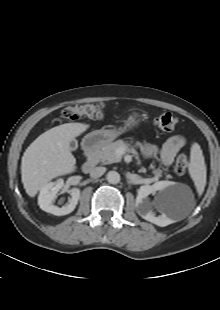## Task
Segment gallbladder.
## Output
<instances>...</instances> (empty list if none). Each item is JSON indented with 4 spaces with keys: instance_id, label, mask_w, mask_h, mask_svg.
Returning <instances> with one entry per match:
<instances>
[{
    "instance_id": "gallbladder-1",
    "label": "gallbladder",
    "mask_w": 220,
    "mask_h": 310,
    "mask_svg": "<svg viewBox=\"0 0 220 310\" xmlns=\"http://www.w3.org/2000/svg\"><path fill=\"white\" fill-rule=\"evenodd\" d=\"M78 148V142L76 139L70 141V150L75 151Z\"/></svg>"
}]
</instances>
